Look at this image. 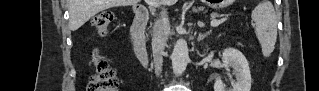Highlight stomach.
I'll return each instance as SVG.
<instances>
[{"instance_id":"1","label":"stomach","mask_w":319,"mask_h":91,"mask_svg":"<svg viewBox=\"0 0 319 91\" xmlns=\"http://www.w3.org/2000/svg\"><path fill=\"white\" fill-rule=\"evenodd\" d=\"M212 3H210V6L213 8H222L224 7V2L222 1H211Z\"/></svg>"}]
</instances>
